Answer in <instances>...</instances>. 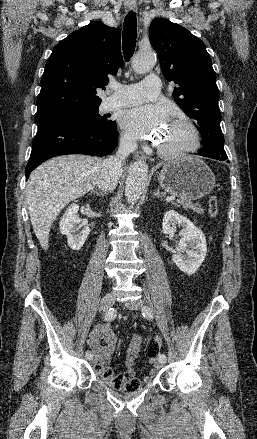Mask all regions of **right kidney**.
I'll use <instances>...</instances> for the list:
<instances>
[{
  "label": "right kidney",
  "mask_w": 257,
  "mask_h": 439,
  "mask_svg": "<svg viewBox=\"0 0 257 439\" xmlns=\"http://www.w3.org/2000/svg\"><path fill=\"white\" fill-rule=\"evenodd\" d=\"M78 210L77 204H71L59 223L60 231L67 236L68 245L72 250H80L90 233V228L81 223V219L77 215Z\"/></svg>",
  "instance_id": "1"
}]
</instances>
